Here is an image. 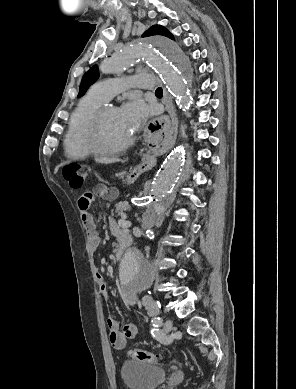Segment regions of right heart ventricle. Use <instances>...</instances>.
<instances>
[{
  "mask_svg": "<svg viewBox=\"0 0 296 389\" xmlns=\"http://www.w3.org/2000/svg\"><path fill=\"white\" fill-rule=\"evenodd\" d=\"M105 102L106 100L91 91L80 101L71 117L64 139L67 157L71 159H85L91 156L92 152L88 146L90 125L95 114Z\"/></svg>",
  "mask_w": 296,
  "mask_h": 389,
  "instance_id": "obj_1",
  "label": "right heart ventricle"
}]
</instances>
